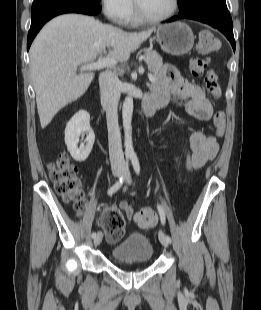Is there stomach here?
<instances>
[{
	"instance_id": "obj_1",
	"label": "stomach",
	"mask_w": 261,
	"mask_h": 310,
	"mask_svg": "<svg viewBox=\"0 0 261 310\" xmlns=\"http://www.w3.org/2000/svg\"><path fill=\"white\" fill-rule=\"evenodd\" d=\"M192 29L183 22H173L157 29L156 40L161 48L171 55H184L194 45Z\"/></svg>"
}]
</instances>
